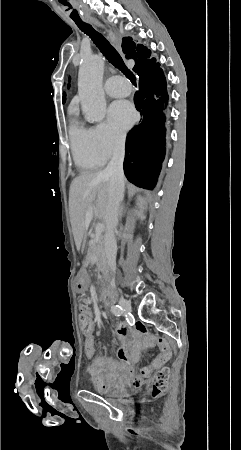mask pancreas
<instances>
[{"label":"pancreas","instance_id":"pancreas-1","mask_svg":"<svg viewBox=\"0 0 241 450\" xmlns=\"http://www.w3.org/2000/svg\"><path fill=\"white\" fill-rule=\"evenodd\" d=\"M89 260H92L91 256H94L95 260L92 262V264H96V266H99L102 274H103V280L104 282H109V276H108V270L106 268V258L104 254V248H103V240L99 238V240H92L90 242L89 250ZM86 264H89V262H86Z\"/></svg>","mask_w":241,"mask_h":450}]
</instances>
